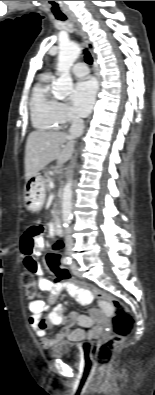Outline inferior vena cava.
Wrapping results in <instances>:
<instances>
[{
	"label": "inferior vena cava",
	"instance_id": "inferior-vena-cava-1",
	"mask_svg": "<svg viewBox=\"0 0 155 395\" xmlns=\"http://www.w3.org/2000/svg\"><path fill=\"white\" fill-rule=\"evenodd\" d=\"M83 129H84V121H83V119L80 118L78 115H73L72 116L71 126H70V129H69V133H70L71 138L74 139V138H77V137L81 136V134L83 133ZM65 244H66L67 252L69 254H71L72 250H73V240H72L70 228H68L66 230Z\"/></svg>",
	"mask_w": 155,
	"mask_h": 395
}]
</instances>
